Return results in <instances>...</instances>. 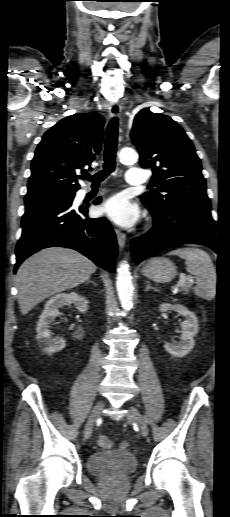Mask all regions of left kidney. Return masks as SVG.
Masks as SVG:
<instances>
[{
  "label": "left kidney",
  "mask_w": 230,
  "mask_h": 517,
  "mask_svg": "<svg viewBox=\"0 0 230 517\" xmlns=\"http://www.w3.org/2000/svg\"><path fill=\"white\" fill-rule=\"evenodd\" d=\"M170 310L178 312L180 315L185 317V320L181 323L182 335L180 341L165 343L164 348L171 355L183 357L194 348V337L199 331L198 319L193 312L189 311L183 305L163 303L159 306L160 312Z\"/></svg>",
  "instance_id": "left-kidney-1"
}]
</instances>
